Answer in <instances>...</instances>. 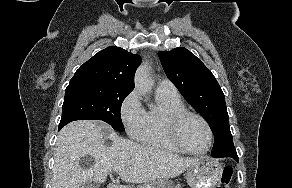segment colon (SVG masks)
<instances>
[{"instance_id":"1","label":"colon","mask_w":292,"mask_h":188,"mask_svg":"<svg viewBox=\"0 0 292 188\" xmlns=\"http://www.w3.org/2000/svg\"><path fill=\"white\" fill-rule=\"evenodd\" d=\"M233 178L232 167H225L222 171L220 182L216 188H230Z\"/></svg>"}]
</instances>
